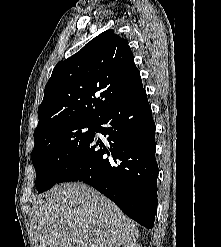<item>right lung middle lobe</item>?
<instances>
[{"label":"right lung middle lobe","mask_w":221,"mask_h":247,"mask_svg":"<svg viewBox=\"0 0 221 247\" xmlns=\"http://www.w3.org/2000/svg\"><path fill=\"white\" fill-rule=\"evenodd\" d=\"M95 122H68L34 137L31 154L36 170V189L42 193L54 186L95 133Z\"/></svg>","instance_id":"right-lung-middle-lobe-1"}]
</instances>
